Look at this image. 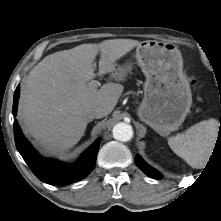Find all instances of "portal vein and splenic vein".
Segmentation results:
<instances>
[{
	"mask_svg": "<svg viewBox=\"0 0 221 221\" xmlns=\"http://www.w3.org/2000/svg\"><path fill=\"white\" fill-rule=\"evenodd\" d=\"M90 84H91L92 86H94V87H98L99 82H98V81H91Z\"/></svg>",
	"mask_w": 221,
	"mask_h": 221,
	"instance_id": "obj_1",
	"label": "portal vein and splenic vein"
}]
</instances>
